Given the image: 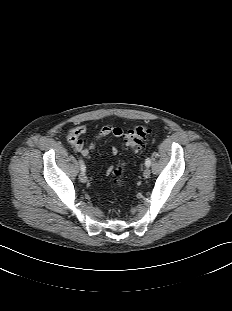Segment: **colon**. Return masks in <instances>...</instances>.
<instances>
[{
    "label": "colon",
    "instance_id": "1",
    "mask_svg": "<svg viewBox=\"0 0 232 311\" xmlns=\"http://www.w3.org/2000/svg\"><path fill=\"white\" fill-rule=\"evenodd\" d=\"M149 133L150 129L144 126H136L130 129L125 135L126 145L133 150H139ZM113 174L115 177H120L122 175V167H114Z\"/></svg>",
    "mask_w": 232,
    "mask_h": 311
}]
</instances>
